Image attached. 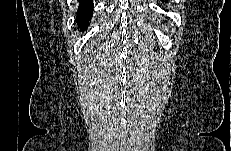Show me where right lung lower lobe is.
<instances>
[{
	"mask_svg": "<svg viewBox=\"0 0 231 151\" xmlns=\"http://www.w3.org/2000/svg\"><path fill=\"white\" fill-rule=\"evenodd\" d=\"M93 0H80L77 10V24L80 30L88 27L93 13Z\"/></svg>",
	"mask_w": 231,
	"mask_h": 151,
	"instance_id": "98d812e1",
	"label": "right lung lower lobe"
}]
</instances>
